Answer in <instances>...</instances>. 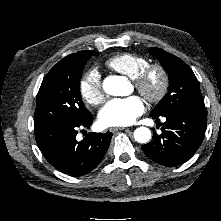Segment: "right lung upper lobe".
<instances>
[{
  "instance_id": "obj_1",
  "label": "right lung upper lobe",
  "mask_w": 221,
  "mask_h": 221,
  "mask_svg": "<svg viewBox=\"0 0 221 221\" xmlns=\"http://www.w3.org/2000/svg\"><path fill=\"white\" fill-rule=\"evenodd\" d=\"M89 51L90 50L80 51V52L71 54V55L67 56L66 58H77V57L87 54Z\"/></svg>"
}]
</instances>
